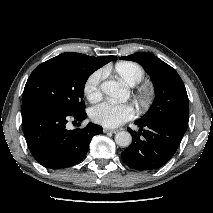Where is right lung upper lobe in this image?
<instances>
[{
    "label": "right lung upper lobe",
    "mask_w": 213,
    "mask_h": 213,
    "mask_svg": "<svg viewBox=\"0 0 213 213\" xmlns=\"http://www.w3.org/2000/svg\"><path fill=\"white\" fill-rule=\"evenodd\" d=\"M68 53L77 57V58H80V59L88 62L96 70L99 69L100 67H102L103 65L109 63L110 61H112L115 58V56L94 57V56H87V55H84V54L74 53V52H68Z\"/></svg>",
    "instance_id": "1"
}]
</instances>
